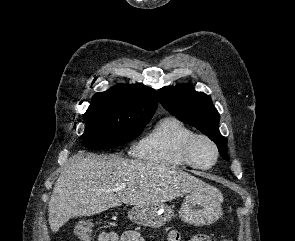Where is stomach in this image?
Returning <instances> with one entry per match:
<instances>
[{
	"mask_svg": "<svg viewBox=\"0 0 295 241\" xmlns=\"http://www.w3.org/2000/svg\"><path fill=\"white\" fill-rule=\"evenodd\" d=\"M223 196L221 192L209 188L189 193L179 210V217L185 223L201 227L216 222L221 214ZM129 219L139 225L152 228L166 224L173 217L172 209L165 204L135 205L128 212Z\"/></svg>",
	"mask_w": 295,
	"mask_h": 241,
	"instance_id": "0dacf381",
	"label": "stomach"
}]
</instances>
